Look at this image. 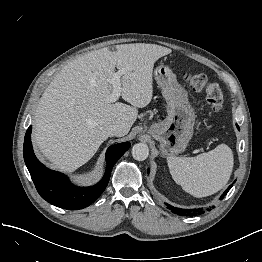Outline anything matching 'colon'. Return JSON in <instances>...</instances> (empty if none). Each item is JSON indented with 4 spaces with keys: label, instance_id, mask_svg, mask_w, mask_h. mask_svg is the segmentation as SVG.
Here are the masks:
<instances>
[{
    "label": "colon",
    "instance_id": "5ec220e1",
    "mask_svg": "<svg viewBox=\"0 0 262 262\" xmlns=\"http://www.w3.org/2000/svg\"><path fill=\"white\" fill-rule=\"evenodd\" d=\"M184 80L195 91H205L208 107L217 112L222 108L224 95L218 84L210 82L207 76L198 72L184 73Z\"/></svg>",
    "mask_w": 262,
    "mask_h": 262
}]
</instances>
